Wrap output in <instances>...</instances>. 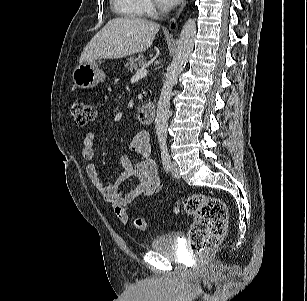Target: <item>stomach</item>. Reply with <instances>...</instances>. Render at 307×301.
<instances>
[{
    "mask_svg": "<svg viewBox=\"0 0 307 301\" xmlns=\"http://www.w3.org/2000/svg\"><path fill=\"white\" fill-rule=\"evenodd\" d=\"M105 78L106 75L99 69L97 61L79 64L72 73L74 85L81 89L93 88Z\"/></svg>",
    "mask_w": 307,
    "mask_h": 301,
    "instance_id": "obj_1",
    "label": "stomach"
}]
</instances>
